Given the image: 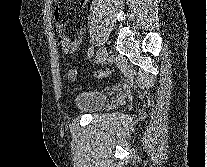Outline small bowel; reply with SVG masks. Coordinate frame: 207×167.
Segmentation results:
<instances>
[{
	"label": "small bowel",
	"mask_w": 207,
	"mask_h": 167,
	"mask_svg": "<svg viewBox=\"0 0 207 167\" xmlns=\"http://www.w3.org/2000/svg\"><path fill=\"white\" fill-rule=\"evenodd\" d=\"M88 0H79L80 8L84 9ZM55 27L58 33V43L65 54L75 52L82 42L83 31L80 30L74 38H70L66 33L64 24L60 21V10L57 8L54 13Z\"/></svg>",
	"instance_id": "small-bowel-1"
}]
</instances>
